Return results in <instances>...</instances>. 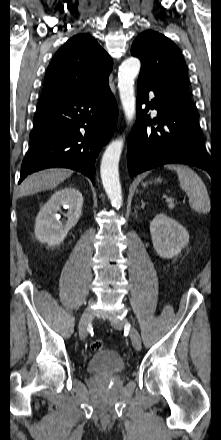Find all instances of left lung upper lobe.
<instances>
[{"label": "left lung upper lobe", "instance_id": "obj_1", "mask_svg": "<svg viewBox=\"0 0 221 440\" xmlns=\"http://www.w3.org/2000/svg\"><path fill=\"white\" fill-rule=\"evenodd\" d=\"M131 54L141 60L139 78L192 103L188 94L185 61L179 48L170 39L155 31H144L134 40Z\"/></svg>", "mask_w": 221, "mask_h": 440}]
</instances>
